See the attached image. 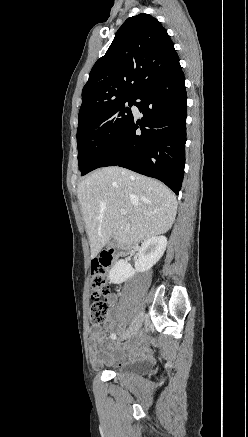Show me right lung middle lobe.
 Returning <instances> with one entry per match:
<instances>
[{"instance_id": "1", "label": "right lung middle lobe", "mask_w": 248, "mask_h": 437, "mask_svg": "<svg viewBox=\"0 0 248 437\" xmlns=\"http://www.w3.org/2000/svg\"><path fill=\"white\" fill-rule=\"evenodd\" d=\"M127 103L129 107L125 106ZM134 103L135 97L123 99L94 113L78 125V161L82 175L91 171L97 158L112 145L132 120L130 107Z\"/></svg>"}]
</instances>
